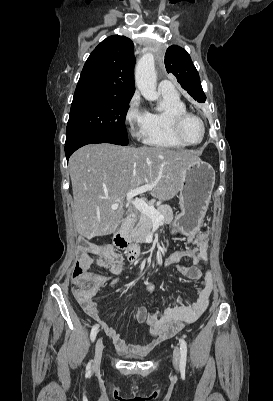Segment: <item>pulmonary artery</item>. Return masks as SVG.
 <instances>
[{
    "label": "pulmonary artery",
    "mask_w": 273,
    "mask_h": 401,
    "mask_svg": "<svg viewBox=\"0 0 273 401\" xmlns=\"http://www.w3.org/2000/svg\"><path fill=\"white\" fill-rule=\"evenodd\" d=\"M160 91L162 94H175L177 88L175 85H171L170 81L164 80L161 83Z\"/></svg>",
    "instance_id": "pulmonary-artery-1"
}]
</instances>
